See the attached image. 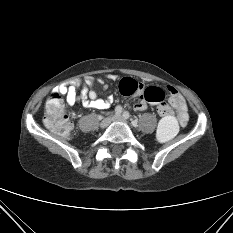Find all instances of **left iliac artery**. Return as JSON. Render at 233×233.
Here are the masks:
<instances>
[{"mask_svg":"<svg viewBox=\"0 0 233 233\" xmlns=\"http://www.w3.org/2000/svg\"><path fill=\"white\" fill-rule=\"evenodd\" d=\"M129 117H130L129 112L125 111V112L123 113V118H124V119H128Z\"/></svg>","mask_w":233,"mask_h":233,"instance_id":"left-iliac-artery-1","label":"left iliac artery"}]
</instances>
